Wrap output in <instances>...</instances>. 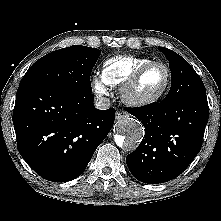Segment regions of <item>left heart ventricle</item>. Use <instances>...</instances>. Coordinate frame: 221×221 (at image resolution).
<instances>
[{"mask_svg": "<svg viewBox=\"0 0 221 221\" xmlns=\"http://www.w3.org/2000/svg\"><path fill=\"white\" fill-rule=\"evenodd\" d=\"M165 80V69L162 66H154L142 76L135 91L140 96L153 94L164 85Z\"/></svg>", "mask_w": 221, "mask_h": 221, "instance_id": "left-heart-ventricle-1", "label": "left heart ventricle"}]
</instances>
